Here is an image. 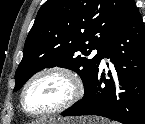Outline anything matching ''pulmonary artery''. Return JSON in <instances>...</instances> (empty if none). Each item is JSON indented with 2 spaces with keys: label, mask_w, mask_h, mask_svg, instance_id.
Here are the masks:
<instances>
[{
  "label": "pulmonary artery",
  "mask_w": 145,
  "mask_h": 124,
  "mask_svg": "<svg viewBox=\"0 0 145 124\" xmlns=\"http://www.w3.org/2000/svg\"><path fill=\"white\" fill-rule=\"evenodd\" d=\"M93 53L95 54V53H96V51H94ZM103 62H104V60H103Z\"/></svg>",
  "instance_id": "e3ab8cb5"
}]
</instances>
